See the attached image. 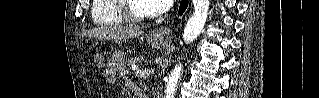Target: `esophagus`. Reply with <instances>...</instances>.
<instances>
[{
	"instance_id": "34e87169",
	"label": "esophagus",
	"mask_w": 319,
	"mask_h": 98,
	"mask_svg": "<svg viewBox=\"0 0 319 98\" xmlns=\"http://www.w3.org/2000/svg\"><path fill=\"white\" fill-rule=\"evenodd\" d=\"M151 36L165 42H171V39L173 38V32L168 26H161L154 30Z\"/></svg>"
}]
</instances>
